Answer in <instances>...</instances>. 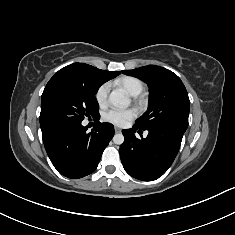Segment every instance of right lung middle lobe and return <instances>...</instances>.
<instances>
[{
    "label": "right lung middle lobe",
    "mask_w": 235,
    "mask_h": 235,
    "mask_svg": "<svg viewBox=\"0 0 235 235\" xmlns=\"http://www.w3.org/2000/svg\"><path fill=\"white\" fill-rule=\"evenodd\" d=\"M100 85L66 72H57L47 83L41 100L40 123L46 121L82 122L99 116L95 98Z\"/></svg>",
    "instance_id": "dd1d6c3e"
}]
</instances>
